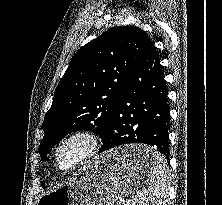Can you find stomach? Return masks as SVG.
Wrapping results in <instances>:
<instances>
[{"label":"stomach","instance_id":"1","mask_svg":"<svg viewBox=\"0 0 222 205\" xmlns=\"http://www.w3.org/2000/svg\"><path fill=\"white\" fill-rule=\"evenodd\" d=\"M159 154L146 145H127L94 157L63 185L42 193L37 205H113L146 182L149 165L138 156Z\"/></svg>","mask_w":222,"mask_h":205}]
</instances>
